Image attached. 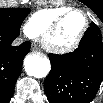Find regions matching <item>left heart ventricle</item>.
Wrapping results in <instances>:
<instances>
[{"label":"left heart ventricle","instance_id":"b2bd125f","mask_svg":"<svg viewBox=\"0 0 103 103\" xmlns=\"http://www.w3.org/2000/svg\"><path fill=\"white\" fill-rule=\"evenodd\" d=\"M85 24L84 16L81 13H74L67 17L54 32L51 43L54 46H67L73 43L80 35Z\"/></svg>","mask_w":103,"mask_h":103}]
</instances>
